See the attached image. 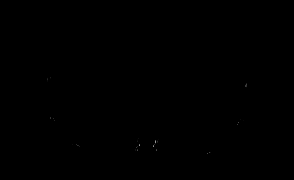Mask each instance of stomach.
<instances>
[{
    "label": "stomach",
    "mask_w": 294,
    "mask_h": 180,
    "mask_svg": "<svg viewBox=\"0 0 294 180\" xmlns=\"http://www.w3.org/2000/svg\"><path fill=\"white\" fill-rule=\"evenodd\" d=\"M143 39H144V40L147 39V36L143 35Z\"/></svg>",
    "instance_id": "0dacf381"
}]
</instances>
